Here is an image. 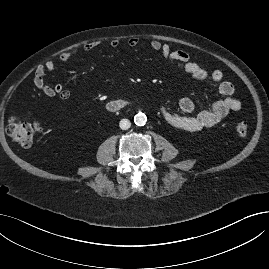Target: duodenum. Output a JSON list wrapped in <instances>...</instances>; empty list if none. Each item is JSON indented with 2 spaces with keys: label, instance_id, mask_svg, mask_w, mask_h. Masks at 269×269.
<instances>
[{
  "label": "duodenum",
  "instance_id": "1",
  "mask_svg": "<svg viewBox=\"0 0 269 269\" xmlns=\"http://www.w3.org/2000/svg\"><path fill=\"white\" fill-rule=\"evenodd\" d=\"M128 106V102L123 99L112 100L106 104L109 112H117Z\"/></svg>",
  "mask_w": 269,
  "mask_h": 269
}]
</instances>
